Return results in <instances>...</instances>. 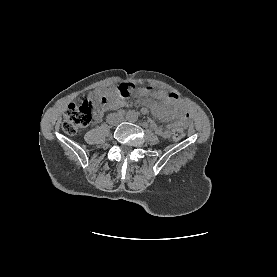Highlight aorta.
<instances>
[{
    "mask_svg": "<svg viewBox=\"0 0 277 277\" xmlns=\"http://www.w3.org/2000/svg\"><path fill=\"white\" fill-rule=\"evenodd\" d=\"M126 119L127 121L129 122H135L137 119H138V114L136 111L134 110H129L127 113H126Z\"/></svg>",
    "mask_w": 277,
    "mask_h": 277,
    "instance_id": "762f6f07",
    "label": "aorta"
}]
</instances>
